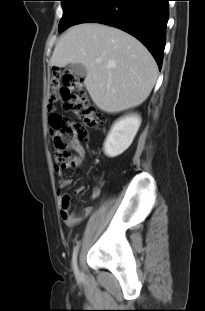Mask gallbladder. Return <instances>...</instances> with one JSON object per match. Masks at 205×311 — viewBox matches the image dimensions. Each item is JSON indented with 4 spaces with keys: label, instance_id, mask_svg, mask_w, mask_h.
Listing matches in <instances>:
<instances>
[{
    "label": "gallbladder",
    "instance_id": "gallbladder-1",
    "mask_svg": "<svg viewBox=\"0 0 205 311\" xmlns=\"http://www.w3.org/2000/svg\"><path fill=\"white\" fill-rule=\"evenodd\" d=\"M68 71L79 77H85L87 74L86 67L80 63L68 65Z\"/></svg>",
    "mask_w": 205,
    "mask_h": 311
}]
</instances>
